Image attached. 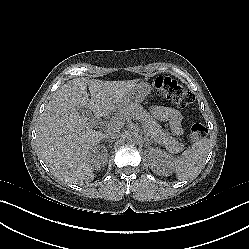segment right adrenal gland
Instances as JSON below:
<instances>
[{"label": "right adrenal gland", "instance_id": "2a0ac1e0", "mask_svg": "<svg viewBox=\"0 0 249 249\" xmlns=\"http://www.w3.org/2000/svg\"><path fill=\"white\" fill-rule=\"evenodd\" d=\"M102 139H104L105 143H106L107 141H108V142H112L111 139H107V138L105 139L104 137H102ZM101 148H104V145H102Z\"/></svg>", "mask_w": 249, "mask_h": 249}]
</instances>
